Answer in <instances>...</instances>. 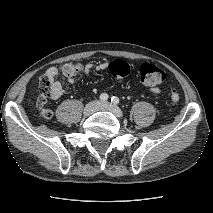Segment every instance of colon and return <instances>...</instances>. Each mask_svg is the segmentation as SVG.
<instances>
[{"mask_svg": "<svg viewBox=\"0 0 213 213\" xmlns=\"http://www.w3.org/2000/svg\"><path fill=\"white\" fill-rule=\"evenodd\" d=\"M83 70L82 64L74 61H69L61 66L62 74L67 78H75L81 74ZM111 73L117 78H126L130 74V66L122 60L113 61L110 64ZM141 82L149 87H155L162 84L166 80L165 72L158 66L152 63H143L139 69ZM49 90L44 80L41 82L40 93L37 99V111L40 117L49 119L52 116L51 110L46 106L49 98ZM172 103H177L180 99L179 92L172 90L170 94Z\"/></svg>", "mask_w": 213, "mask_h": 213, "instance_id": "obj_1", "label": "colon"}]
</instances>
